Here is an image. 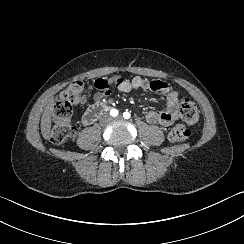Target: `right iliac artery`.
Instances as JSON below:
<instances>
[{"label": "right iliac artery", "instance_id": "1", "mask_svg": "<svg viewBox=\"0 0 244 244\" xmlns=\"http://www.w3.org/2000/svg\"><path fill=\"white\" fill-rule=\"evenodd\" d=\"M110 115L113 116V117H116V116L118 115V110H116V109H112V110L110 111Z\"/></svg>", "mask_w": 244, "mask_h": 244}]
</instances>
